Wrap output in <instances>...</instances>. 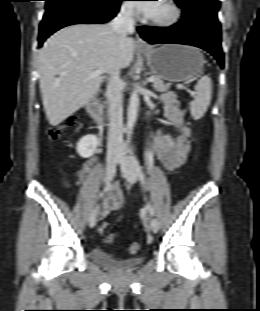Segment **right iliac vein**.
Wrapping results in <instances>:
<instances>
[{"label": "right iliac vein", "instance_id": "obj_1", "mask_svg": "<svg viewBox=\"0 0 260 311\" xmlns=\"http://www.w3.org/2000/svg\"><path fill=\"white\" fill-rule=\"evenodd\" d=\"M118 151L119 147L114 146L108 152L106 163V174H105L107 183L112 179V176L114 174L115 165L118 161ZM97 217H98V206H96L89 215L88 225L90 228H93L96 225Z\"/></svg>", "mask_w": 260, "mask_h": 311}]
</instances>
